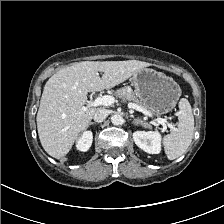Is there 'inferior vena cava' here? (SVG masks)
<instances>
[{
	"label": "inferior vena cava",
	"instance_id": "obj_1",
	"mask_svg": "<svg viewBox=\"0 0 224 224\" xmlns=\"http://www.w3.org/2000/svg\"><path fill=\"white\" fill-rule=\"evenodd\" d=\"M108 116V110L106 109H98L94 116H93V119L95 122H103Z\"/></svg>",
	"mask_w": 224,
	"mask_h": 224
}]
</instances>
